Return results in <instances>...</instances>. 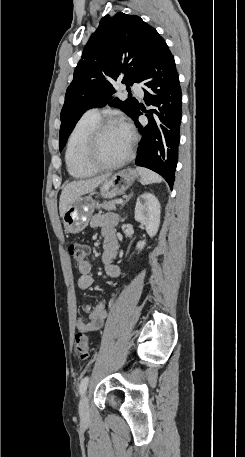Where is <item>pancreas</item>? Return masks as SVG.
Instances as JSON below:
<instances>
[{
  "mask_svg": "<svg viewBox=\"0 0 245 457\" xmlns=\"http://www.w3.org/2000/svg\"><path fill=\"white\" fill-rule=\"evenodd\" d=\"M116 200H108V202H102V204H97L96 208H105V210H116V204H121V202H116Z\"/></svg>",
  "mask_w": 245,
  "mask_h": 457,
  "instance_id": "obj_1",
  "label": "pancreas"
}]
</instances>
